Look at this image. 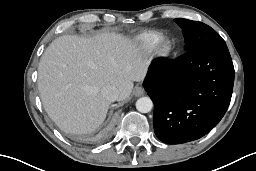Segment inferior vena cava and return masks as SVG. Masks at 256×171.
<instances>
[{"label":"inferior vena cava","instance_id":"inferior-vena-cava-1","mask_svg":"<svg viewBox=\"0 0 256 171\" xmlns=\"http://www.w3.org/2000/svg\"><path fill=\"white\" fill-rule=\"evenodd\" d=\"M102 95L110 102L118 100L119 91L115 86L108 85L102 89Z\"/></svg>","mask_w":256,"mask_h":171}]
</instances>
